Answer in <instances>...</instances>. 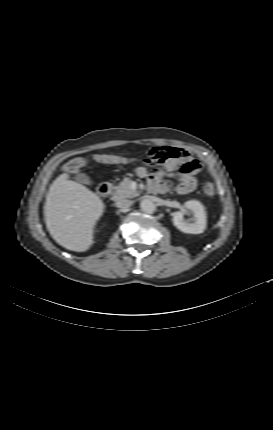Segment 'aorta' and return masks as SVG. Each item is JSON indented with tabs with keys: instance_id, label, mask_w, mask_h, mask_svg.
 Returning a JSON list of instances; mask_svg holds the SVG:
<instances>
[{
	"instance_id": "aorta-1",
	"label": "aorta",
	"mask_w": 273,
	"mask_h": 430,
	"mask_svg": "<svg viewBox=\"0 0 273 430\" xmlns=\"http://www.w3.org/2000/svg\"><path fill=\"white\" fill-rule=\"evenodd\" d=\"M141 210L147 214H152L156 210V205L149 199H143L140 204Z\"/></svg>"
}]
</instances>
